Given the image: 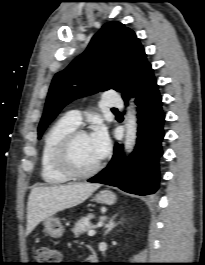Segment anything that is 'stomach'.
Returning a JSON list of instances; mask_svg holds the SVG:
<instances>
[{
	"mask_svg": "<svg viewBox=\"0 0 205 265\" xmlns=\"http://www.w3.org/2000/svg\"><path fill=\"white\" fill-rule=\"evenodd\" d=\"M94 200L101 204L112 205L116 202V196L110 190H102L95 195ZM43 225L45 232L49 236L53 238H59L62 236L63 226L58 218L53 216L46 218Z\"/></svg>",
	"mask_w": 205,
	"mask_h": 265,
	"instance_id": "stomach-1",
	"label": "stomach"
}]
</instances>
